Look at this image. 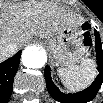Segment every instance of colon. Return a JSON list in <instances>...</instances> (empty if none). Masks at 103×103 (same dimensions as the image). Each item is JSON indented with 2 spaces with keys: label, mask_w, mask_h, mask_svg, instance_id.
Instances as JSON below:
<instances>
[{
  "label": "colon",
  "mask_w": 103,
  "mask_h": 103,
  "mask_svg": "<svg viewBox=\"0 0 103 103\" xmlns=\"http://www.w3.org/2000/svg\"><path fill=\"white\" fill-rule=\"evenodd\" d=\"M90 26L88 24H83V30H84V43L86 45L91 44V38H90V32H89Z\"/></svg>",
  "instance_id": "1"
}]
</instances>
